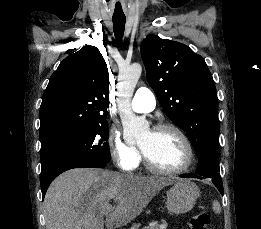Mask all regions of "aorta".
I'll return each instance as SVG.
<instances>
[{
	"label": "aorta",
	"mask_w": 261,
	"mask_h": 229,
	"mask_svg": "<svg viewBox=\"0 0 261 229\" xmlns=\"http://www.w3.org/2000/svg\"><path fill=\"white\" fill-rule=\"evenodd\" d=\"M142 66L139 62H133L129 66H121L117 84V106L121 123L126 135H132L135 139H143L149 133L148 121L145 117H136L131 108V98L134 88L141 76Z\"/></svg>",
	"instance_id": "aorta-1"
}]
</instances>
